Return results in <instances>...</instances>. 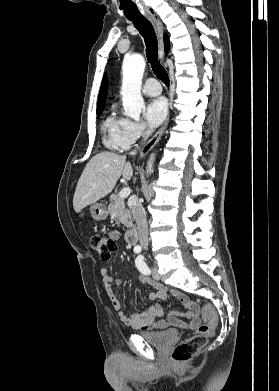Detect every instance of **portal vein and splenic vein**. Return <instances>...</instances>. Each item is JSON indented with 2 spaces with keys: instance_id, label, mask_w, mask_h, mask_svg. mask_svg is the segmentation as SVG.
Masks as SVG:
<instances>
[{
  "instance_id": "1",
  "label": "portal vein and splenic vein",
  "mask_w": 279,
  "mask_h": 391,
  "mask_svg": "<svg viewBox=\"0 0 279 391\" xmlns=\"http://www.w3.org/2000/svg\"><path fill=\"white\" fill-rule=\"evenodd\" d=\"M130 192H131V190H130L129 187H124V188L120 191L119 197L124 199V198H126V197H128V196L130 195Z\"/></svg>"
}]
</instances>
